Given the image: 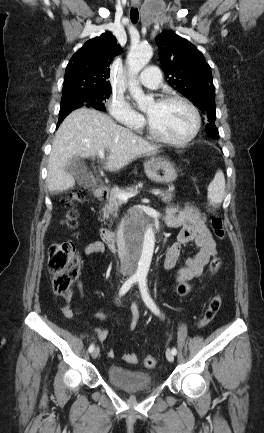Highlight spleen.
Returning <instances> with one entry per match:
<instances>
[{
  "instance_id": "obj_1",
  "label": "spleen",
  "mask_w": 264,
  "mask_h": 433,
  "mask_svg": "<svg viewBox=\"0 0 264 433\" xmlns=\"http://www.w3.org/2000/svg\"><path fill=\"white\" fill-rule=\"evenodd\" d=\"M225 177L222 170L217 171L214 179L208 186V199L212 204L219 205L225 197Z\"/></svg>"
}]
</instances>
